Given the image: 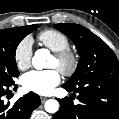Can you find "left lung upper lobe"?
Instances as JSON below:
<instances>
[{
  "label": "left lung upper lobe",
  "instance_id": "1",
  "mask_svg": "<svg viewBox=\"0 0 119 119\" xmlns=\"http://www.w3.org/2000/svg\"><path fill=\"white\" fill-rule=\"evenodd\" d=\"M54 27L74 42L81 56L75 73L64 85L78 87L101 79L119 80V62L103 40L78 24L62 23Z\"/></svg>",
  "mask_w": 119,
  "mask_h": 119
}]
</instances>
